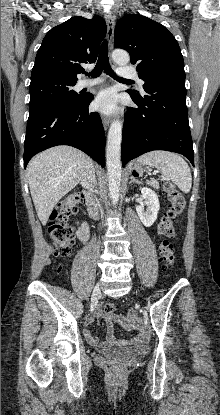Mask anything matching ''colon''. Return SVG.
<instances>
[{"instance_id": "1", "label": "colon", "mask_w": 220, "mask_h": 415, "mask_svg": "<svg viewBox=\"0 0 220 415\" xmlns=\"http://www.w3.org/2000/svg\"><path fill=\"white\" fill-rule=\"evenodd\" d=\"M167 194L169 208L161 218L158 231L163 236L159 244V252L164 265L171 268L175 262L173 245L170 239L175 236V220L185 208L183 195L175 188L170 181L162 183ZM84 196L80 193H72L61 200L57 207L51 212L49 219V235L53 241L56 254L59 256L69 255L72 246L75 244L76 228L68 223L71 213H76L83 203ZM116 306L107 303L104 312L108 317H114Z\"/></svg>"}]
</instances>
